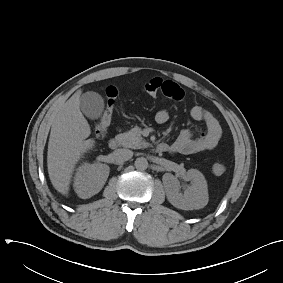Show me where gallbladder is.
Instances as JSON below:
<instances>
[{"mask_svg":"<svg viewBox=\"0 0 283 283\" xmlns=\"http://www.w3.org/2000/svg\"><path fill=\"white\" fill-rule=\"evenodd\" d=\"M80 108L89 119H98L104 111V100L98 93L88 91L80 98Z\"/></svg>","mask_w":283,"mask_h":283,"instance_id":"obj_1","label":"gallbladder"}]
</instances>
